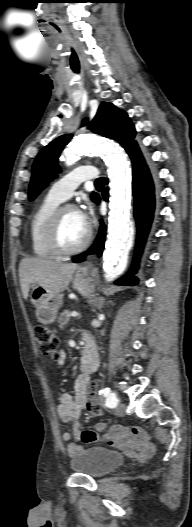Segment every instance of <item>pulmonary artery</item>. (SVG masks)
<instances>
[{
    "instance_id": "obj_1",
    "label": "pulmonary artery",
    "mask_w": 192,
    "mask_h": 527,
    "mask_svg": "<svg viewBox=\"0 0 192 527\" xmlns=\"http://www.w3.org/2000/svg\"><path fill=\"white\" fill-rule=\"evenodd\" d=\"M98 178V170L94 166H80L56 181L50 188L48 195L64 201L84 181Z\"/></svg>"
}]
</instances>
